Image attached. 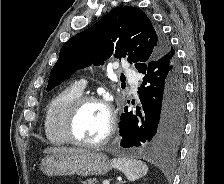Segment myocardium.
<instances>
[{"label":"myocardium","instance_id":"1","mask_svg":"<svg viewBox=\"0 0 224 184\" xmlns=\"http://www.w3.org/2000/svg\"><path fill=\"white\" fill-rule=\"evenodd\" d=\"M90 103H95L103 106L108 113L109 123L106 135L99 141L96 142H84L77 138L75 133V124L77 117L81 109ZM117 126V116L116 112L111 105V103L104 97L95 96V95H81L79 96L70 106L67 111L65 123H64V132L67 138V141L73 145L82 148H99L105 145L113 137Z\"/></svg>","mask_w":224,"mask_h":184}]
</instances>
